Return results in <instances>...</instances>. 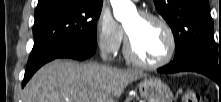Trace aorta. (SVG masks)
<instances>
[{
    "label": "aorta",
    "mask_w": 221,
    "mask_h": 102,
    "mask_svg": "<svg viewBox=\"0 0 221 102\" xmlns=\"http://www.w3.org/2000/svg\"><path fill=\"white\" fill-rule=\"evenodd\" d=\"M116 20L124 22L136 13V7L131 0H110Z\"/></svg>",
    "instance_id": "1"
}]
</instances>
